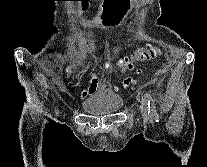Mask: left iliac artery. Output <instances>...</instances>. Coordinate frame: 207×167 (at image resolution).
I'll use <instances>...</instances> for the list:
<instances>
[{
  "instance_id": "obj_1",
  "label": "left iliac artery",
  "mask_w": 207,
  "mask_h": 167,
  "mask_svg": "<svg viewBox=\"0 0 207 167\" xmlns=\"http://www.w3.org/2000/svg\"><path fill=\"white\" fill-rule=\"evenodd\" d=\"M145 98L148 102V114H150L154 118V120L157 123H159V121H160L159 115L156 111L155 103H154V100H153L152 96L149 93H146Z\"/></svg>"
}]
</instances>
